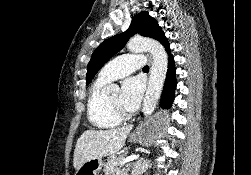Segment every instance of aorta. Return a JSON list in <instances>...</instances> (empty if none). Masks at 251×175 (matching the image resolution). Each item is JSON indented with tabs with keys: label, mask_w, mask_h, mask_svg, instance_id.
Instances as JSON below:
<instances>
[{
	"label": "aorta",
	"mask_w": 251,
	"mask_h": 175,
	"mask_svg": "<svg viewBox=\"0 0 251 175\" xmlns=\"http://www.w3.org/2000/svg\"><path fill=\"white\" fill-rule=\"evenodd\" d=\"M127 48L134 54H139V52H150L152 54L148 88L142 107L144 115H151L160 97L168 70V58L165 48L159 42L150 40V38H132V40H129ZM107 89H118V86L110 84Z\"/></svg>",
	"instance_id": "obj_1"
}]
</instances>
